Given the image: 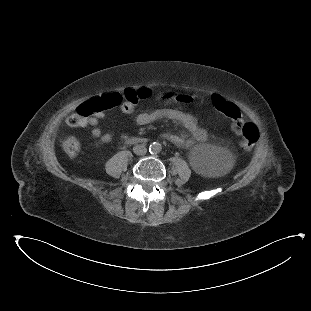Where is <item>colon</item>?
I'll list each match as a JSON object with an SVG mask.
<instances>
[{
  "instance_id": "5ec220e1",
  "label": "colon",
  "mask_w": 311,
  "mask_h": 311,
  "mask_svg": "<svg viewBox=\"0 0 311 311\" xmlns=\"http://www.w3.org/2000/svg\"><path fill=\"white\" fill-rule=\"evenodd\" d=\"M151 96V88L148 86L139 88L137 90H122L119 93L102 94L98 99H90L83 104L77 111L72 112L64 119V126L68 130H76L78 127L90 122L97 116L101 110L104 113H111L115 109L123 108L125 112H132L135 110L139 102L148 99ZM190 100L187 96L178 97L180 102H188ZM212 104L219 106L221 112L226 114L232 122V128L236 132L238 124L242 116H245L235 105L228 99H224L222 95H214L212 97ZM243 138L240 141V146L244 150H250L254 147L259 137V132L256 129L254 121H247L242 130ZM62 149L70 158H75L81 150V142L77 137L66 138L62 142Z\"/></svg>"
}]
</instances>
